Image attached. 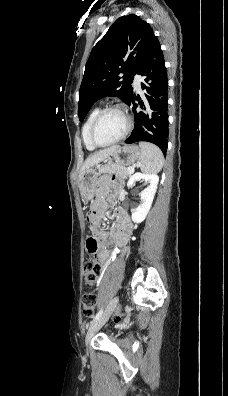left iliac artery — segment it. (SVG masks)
<instances>
[{"label": "left iliac artery", "mask_w": 228, "mask_h": 396, "mask_svg": "<svg viewBox=\"0 0 228 396\" xmlns=\"http://www.w3.org/2000/svg\"><path fill=\"white\" fill-rule=\"evenodd\" d=\"M102 313H103V308L100 309L99 312L95 315L93 321H95L96 319H98V318L102 315ZM93 321H92V322H93Z\"/></svg>", "instance_id": "44dca946"}]
</instances>
